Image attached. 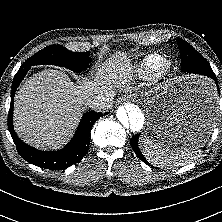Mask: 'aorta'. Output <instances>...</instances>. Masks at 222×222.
I'll list each match as a JSON object with an SVG mask.
<instances>
[{"label":"aorta","instance_id":"762f6f07","mask_svg":"<svg viewBox=\"0 0 222 222\" xmlns=\"http://www.w3.org/2000/svg\"><path fill=\"white\" fill-rule=\"evenodd\" d=\"M116 117L126 131L138 132L144 125L145 117L139 106L133 103H126L116 111Z\"/></svg>","mask_w":222,"mask_h":222}]
</instances>
